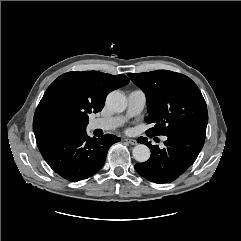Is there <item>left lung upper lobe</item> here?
<instances>
[{
    "label": "left lung upper lobe",
    "mask_w": 241,
    "mask_h": 241,
    "mask_svg": "<svg viewBox=\"0 0 241 241\" xmlns=\"http://www.w3.org/2000/svg\"><path fill=\"white\" fill-rule=\"evenodd\" d=\"M128 76L146 94L149 115L145 121L154 124L147 130L148 135L206 131V102L189 77L168 70L129 73Z\"/></svg>",
    "instance_id": "5c2ea615"
}]
</instances>
